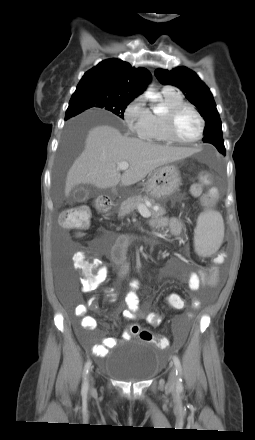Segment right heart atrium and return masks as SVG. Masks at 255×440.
<instances>
[{
	"mask_svg": "<svg viewBox=\"0 0 255 440\" xmlns=\"http://www.w3.org/2000/svg\"><path fill=\"white\" fill-rule=\"evenodd\" d=\"M151 112L143 96L134 98L125 108L123 117L128 129L140 137L148 130Z\"/></svg>",
	"mask_w": 255,
	"mask_h": 440,
	"instance_id": "d8ad5b80",
	"label": "right heart atrium"
}]
</instances>
